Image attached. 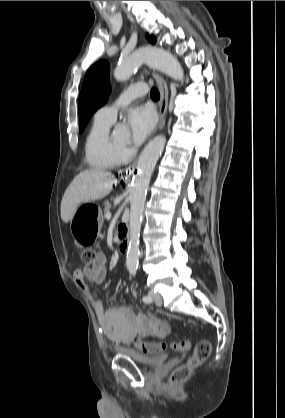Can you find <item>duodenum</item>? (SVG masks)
<instances>
[{"label":"duodenum","mask_w":285,"mask_h":418,"mask_svg":"<svg viewBox=\"0 0 285 418\" xmlns=\"http://www.w3.org/2000/svg\"><path fill=\"white\" fill-rule=\"evenodd\" d=\"M117 237L120 239L119 249L122 254H126L128 250V241L126 240L125 229L119 226L117 231Z\"/></svg>","instance_id":"1"}]
</instances>
